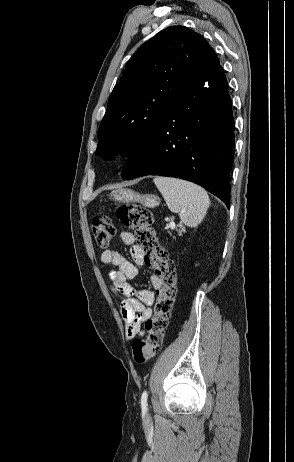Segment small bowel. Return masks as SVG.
Masks as SVG:
<instances>
[{
	"mask_svg": "<svg viewBox=\"0 0 294 462\" xmlns=\"http://www.w3.org/2000/svg\"><path fill=\"white\" fill-rule=\"evenodd\" d=\"M120 242L131 247L133 262L114 250L103 251L100 258L102 263L114 267L109 273L110 289L120 298V314L125 324L126 338L133 339L144 334L142 324L152 315L155 292L160 288L161 282L153 274L150 277L151 290H136L129 281L136 277L137 267L143 264V253L134 244L135 237L131 232H121Z\"/></svg>",
	"mask_w": 294,
	"mask_h": 462,
	"instance_id": "c3829d8e",
	"label": "small bowel"
}]
</instances>
